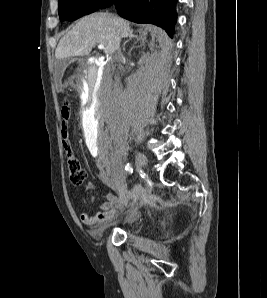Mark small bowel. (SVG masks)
Listing matches in <instances>:
<instances>
[{"instance_id":"c3829d8e","label":"small bowel","mask_w":267,"mask_h":298,"mask_svg":"<svg viewBox=\"0 0 267 298\" xmlns=\"http://www.w3.org/2000/svg\"><path fill=\"white\" fill-rule=\"evenodd\" d=\"M110 184L115 193L104 195L106 200L101 204L100 210L96 214L91 215L88 212L81 213L80 220L84 225L100 226L110 221L116 215L117 206L123 202L124 197L128 196V192L122 179L111 181ZM87 188L93 190L95 186L89 183Z\"/></svg>"}]
</instances>
